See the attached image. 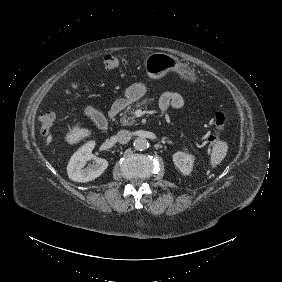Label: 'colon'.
Returning <instances> with one entry per match:
<instances>
[{
	"instance_id": "colon-1",
	"label": "colon",
	"mask_w": 282,
	"mask_h": 282,
	"mask_svg": "<svg viewBox=\"0 0 282 282\" xmlns=\"http://www.w3.org/2000/svg\"><path fill=\"white\" fill-rule=\"evenodd\" d=\"M126 59L119 54H108L104 57V66L108 70H120L126 66ZM57 121L54 109L46 111L39 119L40 132L48 136L52 133ZM214 129L207 136L209 145L214 146L220 142L226 130V116L223 112L215 113L213 117Z\"/></svg>"
}]
</instances>
